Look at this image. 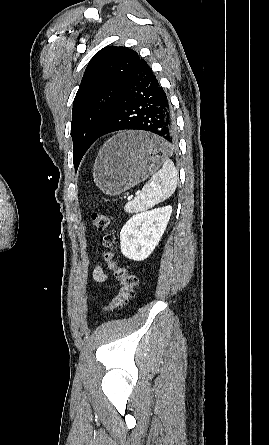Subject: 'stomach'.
Segmentation results:
<instances>
[{"label": "stomach", "mask_w": 269, "mask_h": 445, "mask_svg": "<svg viewBox=\"0 0 269 445\" xmlns=\"http://www.w3.org/2000/svg\"><path fill=\"white\" fill-rule=\"evenodd\" d=\"M166 151L167 143L149 133H119L99 151L93 168L94 182L105 194H121L157 171Z\"/></svg>", "instance_id": "obj_1"}]
</instances>
